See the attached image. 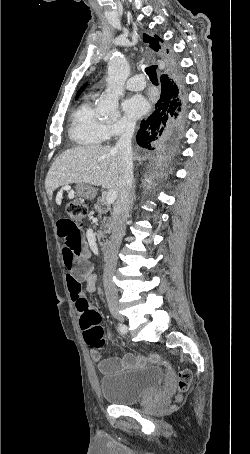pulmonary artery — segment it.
I'll return each instance as SVG.
<instances>
[{
	"label": "pulmonary artery",
	"instance_id": "e3ab8cb5",
	"mask_svg": "<svg viewBox=\"0 0 250 454\" xmlns=\"http://www.w3.org/2000/svg\"><path fill=\"white\" fill-rule=\"evenodd\" d=\"M145 86L146 82L142 75H136L129 78L125 84V88L132 91L142 90ZM96 95H98V93Z\"/></svg>",
	"mask_w": 250,
	"mask_h": 454
}]
</instances>
